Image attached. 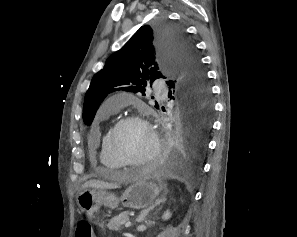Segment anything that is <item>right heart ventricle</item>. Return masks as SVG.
Here are the masks:
<instances>
[{"label": "right heart ventricle", "mask_w": 297, "mask_h": 237, "mask_svg": "<svg viewBox=\"0 0 297 237\" xmlns=\"http://www.w3.org/2000/svg\"><path fill=\"white\" fill-rule=\"evenodd\" d=\"M102 112L105 115H110L112 113V111L108 110H103ZM98 156L101 166L106 168L108 171L116 172L122 168L120 163L110 154L107 148L106 135L101 140Z\"/></svg>", "instance_id": "1"}]
</instances>
